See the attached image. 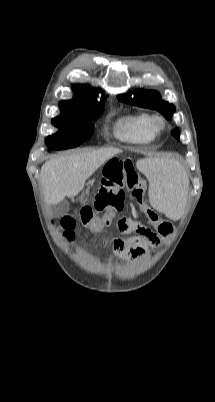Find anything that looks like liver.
<instances>
[{
	"label": "liver",
	"mask_w": 215,
	"mask_h": 402,
	"mask_svg": "<svg viewBox=\"0 0 215 402\" xmlns=\"http://www.w3.org/2000/svg\"><path fill=\"white\" fill-rule=\"evenodd\" d=\"M120 152L117 148H103L45 162L40 171V184L46 203L55 205L65 197L74 198L84 188L86 180Z\"/></svg>",
	"instance_id": "6515ba94"
}]
</instances>
